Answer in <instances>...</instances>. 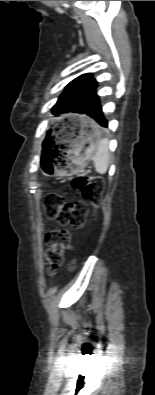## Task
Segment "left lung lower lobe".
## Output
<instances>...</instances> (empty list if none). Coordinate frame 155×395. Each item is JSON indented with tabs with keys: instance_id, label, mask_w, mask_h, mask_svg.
<instances>
[{
	"instance_id": "left-lung-lower-lobe-1",
	"label": "left lung lower lobe",
	"mask_w": 155,
	"mask_h": 395,
	"mask_svg": "<svg viewBox=\"0 0 155 395\" xmlns=\"http://www.w3.org/2000/svg\"><path fill=\"white\" fill-rule=\"evenodd\" d=\"M82 113L93 118L100 126L107 127V121L103 116L99 97L95 91L91 93L85 100L82 106ZM95 126L98 127L97 124H95Z\"/></svg>"
}]
</instances>
